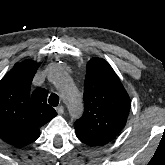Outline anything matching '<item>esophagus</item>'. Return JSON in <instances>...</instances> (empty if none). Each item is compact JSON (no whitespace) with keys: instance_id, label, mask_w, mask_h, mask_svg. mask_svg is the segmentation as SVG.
I'll use <instances>...</instances> for the list:
<instances>
[{"instance_id":"1","label":"esophagus","mask_w":165,"mask_h":165,"mask_svg":"<svg viewBox=\"0 0 165 165\" xmlns=\"http://www.w3.org/2000/svg\"><path fill=\"white\" fill-rule=\"evenodd\" d=\"M56 111H57L58 114H63L64 113V107L63 106H58L56 108Z\"/></svg>"}]
</instances>
